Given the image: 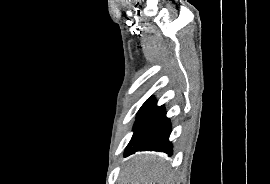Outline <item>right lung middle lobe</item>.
<instances>
[{
  "instance_id": "1",
  "label": "right lung middle lobe",
  "mask_w": 270,
  "mask_h": 184,
  "mask_svg": "<svg viewBox=\"0 0 270 184\" xmlns=\"http://www.w3.org/2000/svg\"><path fill=\"white\" fill-rule=\"evenodd\" d=\"M148 100L142 105L141 109L139 110L138 116H139L140 112L142 111V109L144 108V106L147 104Z\"/></svg>"
}]
</instances>
